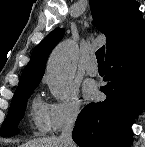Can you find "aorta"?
I'll list each match as a JSON object with an SVG mask.
<instances>
[{"instance_id":"obj_1","label":"aorta","mask_w":145,"mask_h":147,"mask_svg":"<svg viewBox=\"0 0 145 147\" xmlns=\"http://www.w3.org/2000/svg\"><path fill=\"white\" fill-rule=\"evenodd\" d=\"M78 48L73 41H64L51 53L47 64V83L57 98H61L75 74Z\"/></svg>"}]
</instances>
